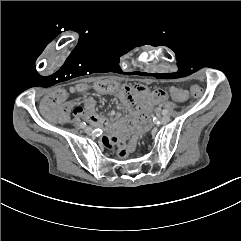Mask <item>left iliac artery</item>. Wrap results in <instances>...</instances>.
Masks as SVG:
<instances>
[{"mask_svg":"<svg viewBox=\"0 0 241 241\" xmlns=\"http://www.w3.org/2000/svg\"><path fill=\"white\" fill-rule=\"evenodd\" d=\"M162 114L165 116V115L168 114V111H167L166 109H163V110H162Z\"/></svg>","mask_w":241,"mask_h":241,"instance_id":"1","label":"left iliac artery"}]
</instances>
